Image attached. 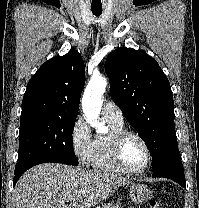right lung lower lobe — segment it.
Masks as SVG:
<instances>
[{
	"label": "right lung lower lobe",
	"mask_w": 199,
	"mask_h": 208,
	"mask_svg": "<svg viewBox=\"0 0 199 208\" xmlns=\"http://www.w3.org/2000/svg\"><path fill=\"white\" fill-rule=\"evenodd\" d=\"M26 171V170H25ZM25 171H21V172H17L15 173V176H14V184H16V182L18 181V179L20 178V176L25 172Z\"/></svg>",
	"instance_id": "right-lung-lower-lobe-1"
}]
</instances>
